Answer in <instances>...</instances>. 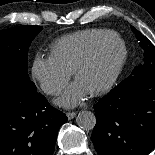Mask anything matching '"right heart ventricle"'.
I'll return each instance as SVG.
<instances>
[{
  "label": "right heart ventricle",
  "mask_w": 155,
  "mask_h": 155,
  "mask_svg": "<svg viewBox=\"0 0 155 155\" xmlns=\"http://www.w3.org/2000/svg\"><path fill=\"white\" fill-rule=\"evenodd\" d=\"M114 34L110 29L92 28L62 36L51 44V56L71 73L100 41Z\"/></svg>",
  "instance_id": "right-heart-ventricle-1"
}]
</instances>
